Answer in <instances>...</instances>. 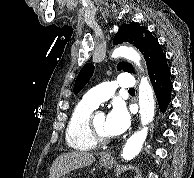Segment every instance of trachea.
Segmentation results:
<instances>
[{
	"label": "trachea",
	"instance_id": "trachea-1",
	"mask_svg": "<svg viewBox=\"0 0 194 178\" xmlns=\"http://www.w3.org/2000/svg\"><path fill=\"white\" fill-rule=\"evenodd\" d=\"M129 92H135V90L133 88L129 89Z\"/></svg>",
	"mask_w": 194,
	"mask_h": 178
}]
</instances>
